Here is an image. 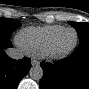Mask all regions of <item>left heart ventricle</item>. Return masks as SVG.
Masks as SVG:
<instances>
[{
  "mask_svg": "<svg viewBox=\"0 0 89 89\" xmlns=\"http://www.w3.org/2000/svg\"><path fill=\"white\" fill-rule=\"evenodd\" d=\"M74 41V33L67 31L62 33L54 42L53 50L62 51L68 48Z\"/></svg>",
  "mask_w": 89,
  "mask_h": 89,
  "instance_id": "left-heart-ventricle-1",
  "label": "left heart ventricle"
}]
</instances>
